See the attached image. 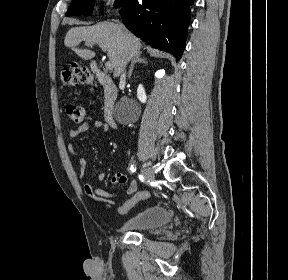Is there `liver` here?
Segmentation results:
<instances>
[{
	"label": "liver",
	"mask_w": 288,
	"mask_h": 280,
	"mask_svg": "<svg viewBox=\"0 0 288 280\" xmlns=\"http://www.w3.org/2000/svg\"><path fill=\"white\" fill-rule=\"evenodd\" d=\"M85 41L105 46L109 61L114 68L113 76L118 77L125 62L140 54L141 42L126 28L112 22H101L93 26L72 27L66 34L64 44L72 48L81 58L88 60L95 57V52L79 49L77 46Z\"/></svg>",
	"instance_id": "obj_1"
}]
</instances>
